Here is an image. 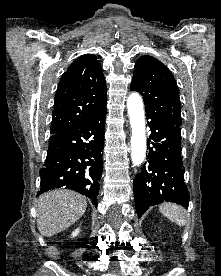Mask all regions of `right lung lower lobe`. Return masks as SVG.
<instances>
[{
    "mask_svg": "<svg viewBox=\"0 0 221 276\" xmlns=\"http://www.w3.org/2000/svg\"><path fill=\"white\" fill-rule=\"evenodd\" d=\"M106 107L76 129L49 143L37 195L60 187L75 190L97 205L102 176Z\"/></svg>",
    "mask_w": 221,
    "mask_h": 276,
    "instance_id": "right-lung-lower-lobe-1",
    "label": "right lung lower lobe"
}]
</instances>
